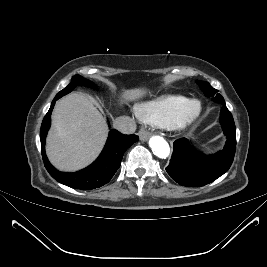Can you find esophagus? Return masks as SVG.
<instances>
[{
    "instance_id": "obj_1",
    "label": "esophagus",
    "mask_w": 267,
    "mask_h": 267,
    "mask_svg": "<svg viewBox=\"0 0 267 267\" xmlns=\"http://www.w3.org/2000/svg\"><path fill=\"white\" fill-rule=\"evenodd\" d=\"M138 135H139L140 140L142 141H146L150 137V133L144 129H141L138 132Z\"/></svg>"
}]
</instances>
